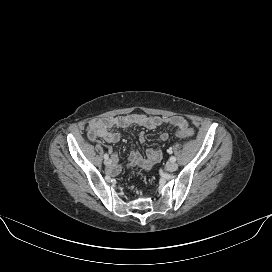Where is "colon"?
I'll use <instances>...</instances> for the list:
<instances>
[{
	"instance_id": "1",
	"label": "colon",
	"mask_w": 272,
	"mask_h": 272,
	"mask_svg": "<svg viewBox=\"0 0 272 272\" xmlns=\"http://www.w3.org/2000/svg\"><path fill=\"white\" fill-rule=\"evenodd\" d=\"M176 135L180 138H191L194 135V131L189 128H177Z\"/></svg>"
}]
</instances>
